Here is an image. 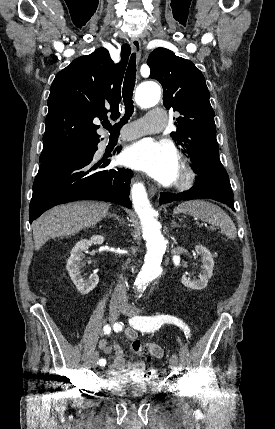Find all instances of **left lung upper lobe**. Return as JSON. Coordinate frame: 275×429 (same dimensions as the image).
<instances>
[{"mask_svg":"<svg viewBox=\"0 0 275 429\" xmlns=\"http://www.w3.org/2000/svg\"><path fill=\"white\" fill-rule=\"evenodd\" d=\"M150 78L163 86V103L179 113L170 135L191 157L196 171L214 168L226 172L219 159L214 111L210 93L201 71L189 60L176 56L166 48H157L149 55Z\"/></svg>","mask_w":275,"mask_h":429,"instance_id":"obj_1","label":"left lung upper lobe"}]
</instances>
